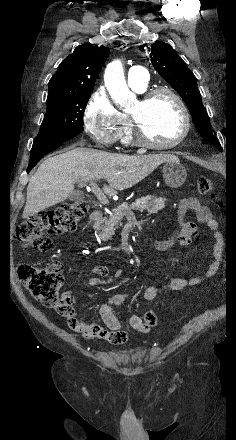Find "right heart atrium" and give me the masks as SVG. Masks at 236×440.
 I'll list each match as a JSON object with an SVG mask.
<instances>
[{"mask_svg": "<svg viewBox=\"0 0 236 440\" xmlns=\"http://www.w3.org/2000/svg\"><path fill=\"white\" fill-rule=\"evenodd\" d=\"M83 124L100 147H112L121 138L123 121L103 87L91 93L84 108Z\"/></svg>", "mask_w": 236, "mask_h": 440, "instance_id": "obj_1", "label": "right heart atrium"}]
</instances>
